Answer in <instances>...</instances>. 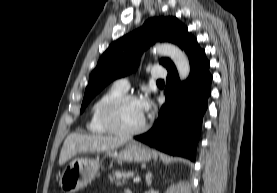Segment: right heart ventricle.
<instances>
[{"instance_id": "obj_1", "label": "right heart ventricle", "mask_w": 277, "mask_h": 193, "mask_svg": "<svg viewBox=\"0 0 277 193\" xmlns=\"http://www.w3.org/2000/svg\"><path fill=\"white\" fill-rule=\"evenodd\" d=\"M123 93L124 91L114 84L94 100L90 107L89 117L86 123V128L90 133L97 135L109 133L101 119L102 108L108 100Z\"/></svg>"}]
</instances>
